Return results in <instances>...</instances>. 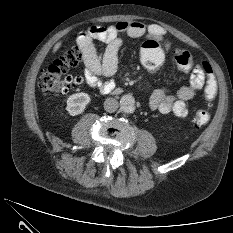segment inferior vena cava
Listing matches in <instances>:
<instances>
[{
	"label": "inferior vena cava",
	"mask_w": 233,
	"mask_h": 233,
	"mask_svg": "<svg viewBox=\"0 0 233 233\" xmlns=\"http://www.w3.org/2000/svg\"><path fill=\"white\" fill-rule=\"evenodd\" d=\"M119 107V103L114 98H107L104 101V109L106 112L113 113L115 112Z\"/></svg>",
	"instance_id": "obj_1"
}]
</instances>
